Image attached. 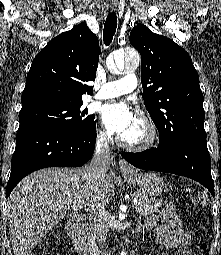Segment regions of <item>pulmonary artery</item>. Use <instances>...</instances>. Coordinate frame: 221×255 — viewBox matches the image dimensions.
Listing matches in <instances>:
<instances>
[{
  "instance_id": "e3ab8cb5",
  "label": "pulmonary artery",
  "mask_w": 221,
  "mask_h": 255,
  "mask_svg": "<svg viewBox=\"0 0 221 255\" xmlns=\"http://www.w3.org/2000/svg\"><path fill=\"white\" fill-rule=\"evenodd\" d=\"M137 87V77L135 74H126L119 80L109 81L101 85L100 91L95 98L109 99L116 96L133 92Z\"/></svg>"
}]
</instances>
